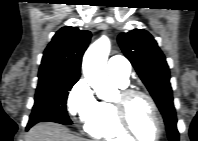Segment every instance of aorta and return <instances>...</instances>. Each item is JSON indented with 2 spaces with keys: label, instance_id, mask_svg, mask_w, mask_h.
Returning a JSON list of instances; mask_svg holds the SVG:
<instances>
[{
  "label": "aorta",
  "instance_id": "obj_1",
  "mask_svg": "<svg viewBox=\"0 0 198 141\" xmlns=\"http://www.w3.org/2000/svg\"><path fill=\"white\" fill-rule=\"evenodd\" d=\"M111 43L107 36H102L89 46L83 57V74L100 99L111 101L116 88L107 74V59Z\"/></svg>",
  "mask_w": 198,
  "mask_h": 141
}]
</instances>
